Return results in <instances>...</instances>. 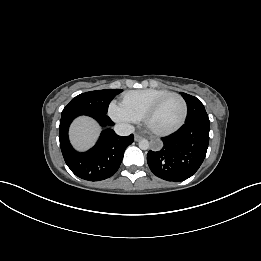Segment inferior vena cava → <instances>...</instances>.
<instances>
[{
	"label": "inferior vena cava",
	"mask_w": 261,
	"mask_h": 261,
	"mask_svg": "<svg viewBox=\"0 0 261 261\" xmlns=\"http://www.w3.org/2000/svg\"><path fill=\"white\" fill-rule=\"evenodd\" d=\"M114 131L120 136H128L134 133L135 129L132 125L126 123H119L114 126Z\"/></svg>",
	"instance_id": "inferior-vena-cava-1"
}]
</instances>
